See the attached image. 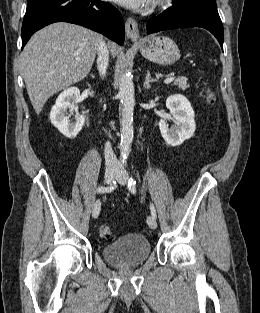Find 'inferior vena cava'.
I'll return each instance as SVG.
<instances>
[{
  "label": "inferior vena cava",
  "instance_id": "1",
  "mask_svg": "<svg viewBox=\"0 0 260 313\" xmlns=\"http://www.w3.org/2000/svg\"><path fill=\"white\" fill-rule=\"evenodd\" d=\"M97 68L99 70V73L104 76L106 74V70L108 67V61H109V51L107 49V45L104 41H101L99 44L98 50H97ZM105 163L107 167H118L119 161L117 160L111 144L108 142L105 144Z\"/></svg>",
  "mask_w": 260,
  "mask_h": 313
}]
</instances>
